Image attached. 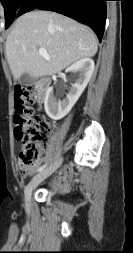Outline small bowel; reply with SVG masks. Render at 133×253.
Returning <instances> with one entry per match:
<instances>
[{"label":"small bowel","instance_id":"1","mask_svg":"<svg viewBox=\"0 0 133 253\" xmlns=\"http://www.w3.org/2000/svg\"><path fill=\"white\" fill-rule=\"evenodd\" d=\"M42 162L43 159H40L35 166L24 170L25 175H31L36 169H38L39 165ZM70 181H71V174L68 171L63 170L59 173V176L54 180V183L60 188H65L69 185Z\"/></svg>","mask_w":133,"mask_h":253}]
</instances>
